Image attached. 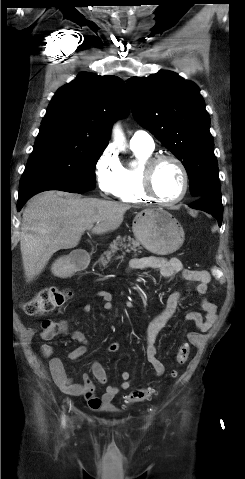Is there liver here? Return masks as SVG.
<instances>
[{"label":"liver","mask_w":245,"mask_h":479,"mask_svg":"<svg viewBox=\"0 0 245 479\" xmlns=\"http://www.w3.org/2000/svg\"><path fill=\"white\" fill-rule=\"evenodd\" d=\"M130 205L47 191L33 197L23 212L20 249L27 281L33 280L61 249L78 245L83 233L116 230ZM94 224H96L94 226Z\"/></svg>","instance_id":"1"}]
</instances>
